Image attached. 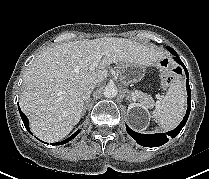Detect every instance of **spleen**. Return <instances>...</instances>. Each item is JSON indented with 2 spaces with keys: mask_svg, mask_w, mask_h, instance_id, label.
Segmentation results:
<instances>
[{
  "mask_svg": "<svg viewBox=\"0 0 209 179\" xmlns=\"http://www.w3.org/2000/svg\"><path fill=\"white\" fill-rule=\"evenodd\" d=\"M186 89L180 80H174L165 96L160 99V104L152 112L154 121L165 131L174 129L182 120L186 105Z\"/></svg>",
  "mask_w": 209,
  "mask_h": 179,
  "instance_id": "spleen-1",
  "label": "spleen"
}]
</instances>
